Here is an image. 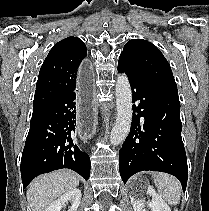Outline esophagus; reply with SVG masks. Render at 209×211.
Instances as JSON below:
<instances>
[{
	"instance_id": "1",
	"label": "esophagus",
	"mask_w": 209,
	"mask_h": 211,
	"mask_svg": "<svg viewBox=\"0 0 209 211\" xmlns=\"http://www.w3.org/2000/svg\"><path fill=\"white\" fill-rule=\"evenodd\" d=\"M93 72L91 59H84V64H81L76 74L79 86L75 93L77 99L74 105L77 112L76 129L80 133L79 141H88L89 133H95L97 129L98 113L95 112V109L98 108V105L93 93L95 91Z\"/></svg>"
}]
</instances>
